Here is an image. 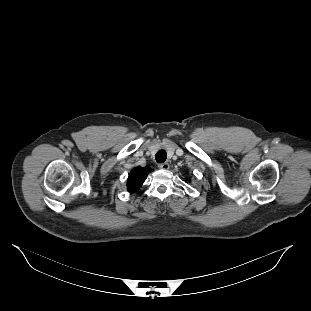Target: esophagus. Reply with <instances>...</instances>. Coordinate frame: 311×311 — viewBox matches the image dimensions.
<instances>
[{"mask_svg": "<svg viewBox=\"0 0 311 311\" xmlns=\"http://www.w3.org/2000/svg\"><path fill=\"white\" fill-rule=\"evenodd\" d=\"M159 169H162V170H167L169 169V164L167 162H164V163H160L158 165Z\"/></svg>", "mask_w": 311, "mask_h": 311, "instance_id": "34e87169", "label": "esophagus"}]
</instances>
